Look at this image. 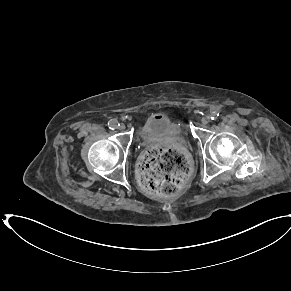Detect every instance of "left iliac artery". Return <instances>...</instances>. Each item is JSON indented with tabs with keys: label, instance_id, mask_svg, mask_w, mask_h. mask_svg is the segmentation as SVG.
Returning a JSON list of instances; mask_svg holds the SVG:
<instances>
[{
	"label": "left iliac artery",
	"instance_id": "left-iliac-artery-1",
	"mask_svg": "<svg viewBox=\"0 0 291 291\" xmlns=\"http://www.w3.org/2000/svg\"><path fill=\"white\" fill-rule=\"evenodd\" d=\"M219 116V111H213L210 115L211 120H215L217 119V117Z\"/></svg>",
	"mask_w": 291,
	"mask_h": 291
}]
</instances>
